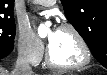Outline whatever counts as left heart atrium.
Returning a JSON list of instances; mask_svg holds the SVG:
<instances>
[{
	"instance_id": "left-heart-atrium-1",
	"label": "left heart atrium",
	"mask_w": 107,
	"mask_h": 75,
	"mask_svg": "<svg viewBox=\"0 0 107 75\" xmlns=\"http://www.w3.org/2000/svg\"><path fill=\"white\" fill-rule=\"evenodd\" d=\"M57 33V30H53L52 32H51V35H50V37H49V45L51 44V42H52V39H53V37L55 36V34Z\"/></svg>"
}]
</instances>
